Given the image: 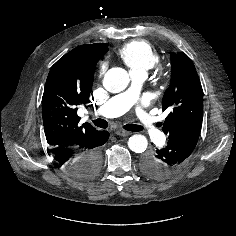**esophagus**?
Wrapping results in <instances>:
<instances>
[{
  "instance_id": "1",
  "label": "esophagus",
  "mask_w": 236,
  "mask_h": 236,
  "mask_svg": "<svg viewBox=\"0 0 236 236\" xmlns=\"http://www.w3.org/2000/svg\"><path fill=\"white\" fill-rule=\"evenodd\" d=\"M116 134L121 137H126V136L131 135V132L125 131V130H118V131H116Z\"/></svg>"
}]
</instances>
